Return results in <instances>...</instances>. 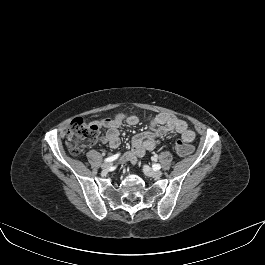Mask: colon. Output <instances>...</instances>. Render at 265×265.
<instances>
[{"instance_id": "colon-1", "label": "colon", "mask_w": 265, "mask_h": 265, "mask_svg": "<svg viewBox=\"0 0 265 265\" xmlns=\"http://www.w3.org/2000/svg\"><path fill=\"white\" fill-rule=\"evenodd\" d=\"M99 129L94 124H87L81 118L72 120L67 133V146L69 152L77 156L83 150L94 144L98 139ZM176 150L179 155L187 156L192 153L193 148L182 140L176 143Z\"/></svg>"}]
</instances>
